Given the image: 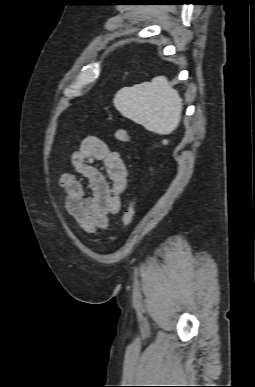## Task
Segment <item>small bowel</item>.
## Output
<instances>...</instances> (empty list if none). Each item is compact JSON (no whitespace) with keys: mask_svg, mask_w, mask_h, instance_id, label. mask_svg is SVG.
Instances as JSON below:
<instances>
[{"mask_svg":"<svg viewBox=\"0 0 255 387\" xmlns=\"http://www.w3.org/2000/svg\"><path fill=\"white\" fill-rule=\"evenodd\" d=\"M101 162L102 169L94 163ZM74 172L63 173L59 184L65 191L64 208L86 232L106 229L110 214L121 207L128 171L116 150L95 136L82 140L71 155ZM87 180L88 193L82 179Z\"/></svg>","mask_w":255,"mask_h":387,"instance_id":"small-bowel-1","label":"small bowel"}]
</instances>
